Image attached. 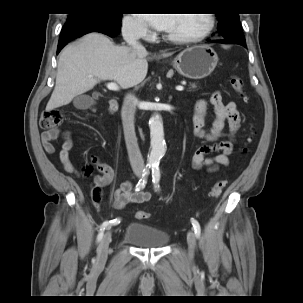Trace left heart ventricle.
I'll return each mask as SVG.
<instances>
[{"mask_svg":"<svg viewBox=\"0 0 303 303\" xmlns=\"http://www.w3.org/2000/svg\"><path fill=\"white\" fill-rule=\"evenodd\" d=\"M168 33L177 36L193 35L201 32L207 25L205 14H174Z\"/></svg>","mask_w":303,"mask_h":303,"instance_id":"1","label":"left heart ventricle"}]
</instances>
